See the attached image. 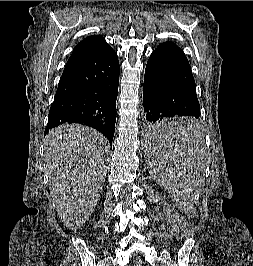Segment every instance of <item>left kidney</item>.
<instances>
[{
    "mask_svg": "<svg viewBox=\"0 0 253 266\" xmlns=\"http://www.w3.org/2000/svg\"><path fill=\"white\" fill-rule=\"evenodd\" d=\"M180 205L184 204V202L182 203L181 201L178 202Z\"/></svg>",
    "mask_w": 253,
    "mask_h": 266,
    "instance_id": "obj_1",
    "label": "left kidney"
}]
</instances>
